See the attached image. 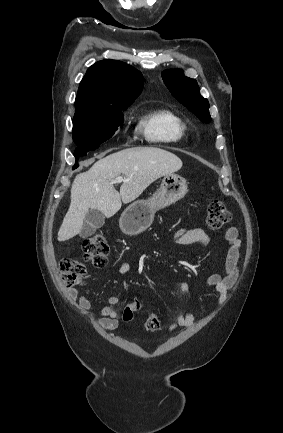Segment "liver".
<instances>
[{
	"label": "liver",
	"mask_w": 283,
	"mask_h": 433,
	"mask_svg": "<svg viewBox=\"0 0 283 433\" xmlns=\"http://www.w3.org/2000/svg\"><path fill=\"white\" fill-rule=\"evenodd\" d=\"M182 160L173 152L155 146H133L108 154L80 172L71 186V202L58 231V241H68L83 229L85 214L89 208H98L105 217L113 214L122 202L135 200L156 178L176 172ZM125 176L120 192L112 180Z\"/></svg>",
	"instance_id": "obj_1"
}]
</instances>
